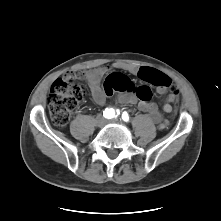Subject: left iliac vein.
I'll list each match as a JSON object with an SVG mask.
<instances>
[{"label":"left iliac vein","instance_id":"1","mask_svg":"<svg viewBox=\"0 0 221 221\" xmlns=\"http://www.w3.org/2000/svg\"><path fill=\"white\" fill-rule=\"evenodd\" d=\"M111 122L118 123V119H113Z\"/></svg>","mask_w":221,"mask_h":221}]
</instances>
